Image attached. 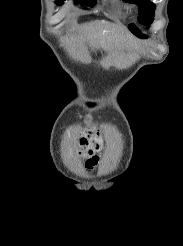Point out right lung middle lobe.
Wrapping results in <instances>:
<instances>
[{"instance_id":"1","label":"right lung middle lobe","mask_w":183,"mask_h":246,"mask_svg":"<svg viewBox=\"0 0 183 246\" xmlns=\"http://www.w3.org/2000/svg\"><path fill=\"white\" fill-rule=\"evenodd\" d=\"M64 0H57V5H62ZM76 3H84L87 6H93L96 0H75Z\"/></svg>"}]
</instances>
